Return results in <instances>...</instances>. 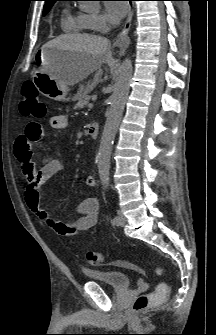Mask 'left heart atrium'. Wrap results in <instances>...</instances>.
I'll list each match as a JSON object with an SVG mask.
<instances>
[{"label":"left heart atrium","mask_w":216,"mask_h":335,"mask_svg":"<svg viewBox=\"0 0 216 335\" xmlns=\"http://www.w3.org/2000/svg\"><path fill=\"white\" fill-rule=\"evenodd\" d=\"M106 13L109 20L116 24L128 13V5L123 1H109L106 3Z\"/></svg>","instance_id":"39dd6f15"}]
</instances>
